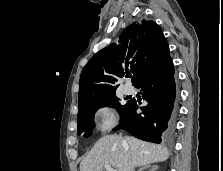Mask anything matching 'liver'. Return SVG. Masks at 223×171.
Segmentation results:
<instances>
[{
	"instance_id": "6515ba94",
	"label": "liver",
	"mask_w": 223,
	"mask_h": 171,
	"mask_svg": "<svg viewBox=\"0 0 223 171\" xmlns=\"http://www.w3.org/2000/svg\"><path fill=\"white\" fill-rule=\"evenodd\" d=\"M167 148L134 137L106 135L100 138L80 163V171H103L109 164L117 171H125L128 162L133 166H147L167 160Z\"/></svg>"
}]
</instances>
